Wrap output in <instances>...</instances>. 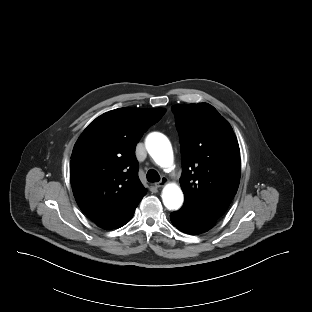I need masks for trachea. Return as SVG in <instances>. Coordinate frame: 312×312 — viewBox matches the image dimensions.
<instances>
[{
	"mask_svg": "<svg viewBox=\"0 0 312 312\" xmlns=\"http://www.w3.org/2000/svg\"><path fill=\"white\" fill-rule=\"evenodd\" d=\"M147 180L149 182H158L160 180V176L156 170L150 169L147 172Z\"/></svg>",
	"mask_w": 312,
	"mask_h": 312,
	"instance_id": "trachea-1",
	"label": "trachea"
}]
</instances>
